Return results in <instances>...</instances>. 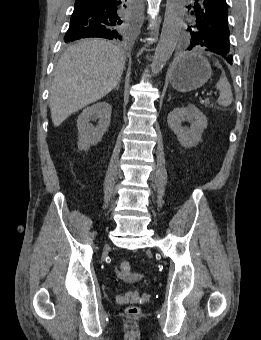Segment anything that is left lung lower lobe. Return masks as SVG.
<instances>
[{
  "label": "left lung lower lobe",
  "instance_id": "0a47b994",
  "mask_svg": "<svg viewBox=\"0 0 261 340\" xmlns=\"http://www.w3.org/2000/svg\"><path fill=\"white\" fill-rule=\"evenodd\" d=\"M188 9L193 10L195 23L205 22L208 17L226 19L228 16L226 0H192ZM193 44L194 41L191 42L190 49L187 50H191ZM225 60L232 64V55L230 54Z\"/></svg>",
  "mask_w": 261,
  "mask_h": 340
}]
</instances>
